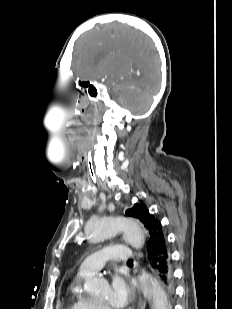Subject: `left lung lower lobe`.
Segmentation results:
<instances>
[{
	"label": "left lung lower lobe",
	"mask_w": 232,
	"mask_h": 309,
	"mask_svg": "<svg viewBox=\"0 0 232 309\" xmlns=\"http://www.w3.org/2000/svg\"><path fill=\"white\" fill-rule=\"evenodd\" d=\"M147 258L149 265L158 274L166 291H173V270L171 255L161 223L157 224L153 235L147 242Z\"/></svg>",
	"instance_id": "left-lung-lower-lobe-1"
}]
</instances>
